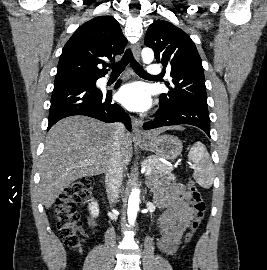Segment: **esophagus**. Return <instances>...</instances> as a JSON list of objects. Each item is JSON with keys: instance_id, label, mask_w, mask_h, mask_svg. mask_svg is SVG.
<instances>
[{"instance_id": "obj_1", "label": "esophagus", "mask_w": 267, "mask_h": 270, "mask_svg": "<svg viewBox=\"0 0 267 270\" xmlns=\"http://www.w3.org/2000/svg\"><path fill=\"white\" fill-rule=\"evenodd\" d=\"M141 44L138 42L133 47V56L136 60H140ZM140 122L136 118L133 119V135L136 138L141 137Z\"/></svg>"}]
</instances>
